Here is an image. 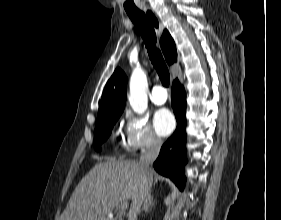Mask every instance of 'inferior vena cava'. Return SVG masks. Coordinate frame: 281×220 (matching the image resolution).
<instances>
[{
  "label": "inferior vena cava",
  "instance_id": "obj_1",
  "mask_svg": "<svg viewBox=\"0 0 281 220\" xmlns=\"http://www.w3.org/2000/svg\"><path fill=\"white\" fill-rule=\"evenodd\" d=\"M160 148L161 141L153 138L146 145V148L140 157L139 164L143 169L144 175L142 183L132 199L128 220H137V215L140 212L141 206L149 195L153 179L152 164L157 158Z\"/></svg>",
  "mask_w": 281,
  "mask_h": 220
}]
</instances>
